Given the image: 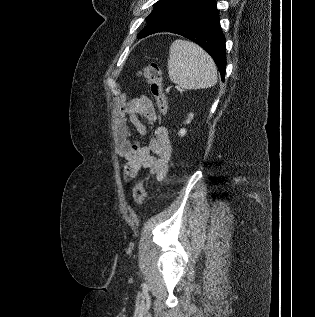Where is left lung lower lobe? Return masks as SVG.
Instances as JSON below:
<instances>
[{"label":"left lung lower lobe","instance_id":"0a47b994","mask_svg":"<svg viewBox=\"0 0 315 317\" xmlns=\"http://www.w3.org/2000/svg\"><path fill=\"white\" fill-rule=\"evenodd\" d=\"M166 31L182 35L200 45L214 59L224 81L227 63L225 37L215 0H199ZM138 38L142 37L139 35Z\"/></svg>","mask_w":315,"mask_h":317}]
</instances>
